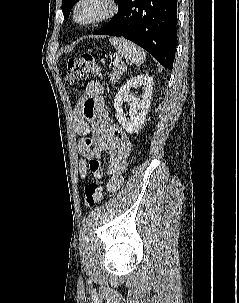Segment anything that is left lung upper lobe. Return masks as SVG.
<instances>
[{"label": "left lung upper lobe", "mask_w": 239, "mask_h": 303, "mask_svg": "<svg viewBox=\"0 0 239 303\" xmlns=\"http://www.w3.org/2000/svg\"><path fill=\"white\" fill-rule=\"evenodd\" d=\"M77 1L78 0H62L61 8L65 19L69 17L70 10ZM123 1L124 0H117L118 5L120 6Z\"/></svg>", "instance_id": "5c2ea615"}]
</instances>
